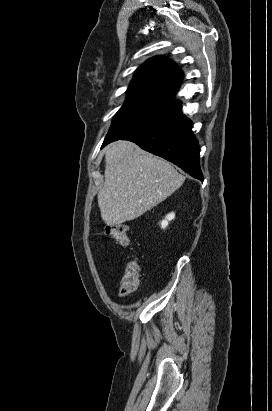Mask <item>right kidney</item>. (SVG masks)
<instances>
[{
	"label": "right kidney",
	"instance_id": "1",
	"mask_svg": "<svg viewBox=\"0 0 272 411\" xmlns=\"http://www.w3.org/2000/svg\"><path fill=\"white\" fill-rule=\"evenodd\" d=\"M174 218H175L174 212L167 214L165 219L161 221V228L165 229L168 226L169 222L172 221Z\"/></svg>",
	"mask_w": 272,
	"mask_h": 411
}]
</instances>
